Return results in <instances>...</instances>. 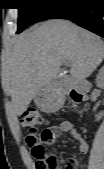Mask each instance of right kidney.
<instances>
[{"label":"right kidney","instance_id":"right-kidney-1","mask_svg":"<svg viewBox=\"0 0 104 169\" xmlns=\"http://www.w3.org/2000/svg\"><path fill=\"white\" fill-rule=\"evenodd\" d=\"M96 84L97 86L101 87L103 86L104 84V68H102L98 75H97V78H96ZM102 117V113H99L97 116H96V119L99 120L100 118Z\"/></svg>","mask_w":104,"mask_h":169}]
</instances>
